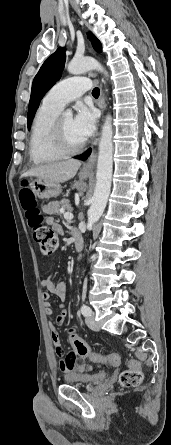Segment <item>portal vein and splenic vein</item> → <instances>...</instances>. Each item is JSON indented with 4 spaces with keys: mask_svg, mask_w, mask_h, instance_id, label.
Listing matches in <instances>:
<instances>
[{
    "mask_svg": "<svg viewBox=\"0 0 171 445\" xmlns=\"http://www.w3.org/2000/svg\"><path fill=\"white\" fill-rule=\"evenodd\" d=\"M63 213V216L66 220H72L73 219V214L70 212H65L64 209L60 210Z\"/></svg>",
    "mask_w": 171,
    "mask_h": 445,
    "instance_id": "obj_1",
    "label": "portal vein and splenic vein"
}]
</instances>
